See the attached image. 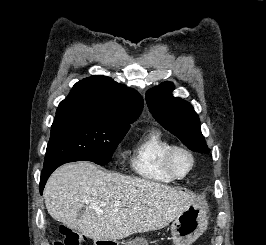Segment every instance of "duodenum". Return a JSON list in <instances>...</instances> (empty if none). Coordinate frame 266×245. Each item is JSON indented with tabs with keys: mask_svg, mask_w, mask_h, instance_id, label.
Wrapping results in <instances>:
<instances>
[{
	"mask_svg": "<svg viewBox=\"0 0 266 245\" xmlns=\"http://www.w3.org/2000/svg\"><path fill=\"white\" fill-rule=\"evenodd\" d=\"M116 237H94V245H113Z\"/></svg>",
	"mask_w": 266,
	"mask_h": 245,
	"instance_id": "410a0bca",
	"label": "duodenum"
}]
</instances>
